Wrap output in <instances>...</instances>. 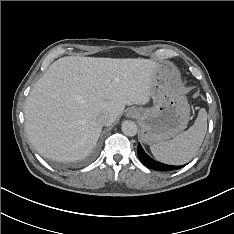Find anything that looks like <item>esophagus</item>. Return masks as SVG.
I'll return each instance as SVG.
<instances>
[{"label": "esophagus", "instance_id": "obj_1", "mask_svg": "<svg viewBox=\"0 0 234 234\" xmlns=\"http://www.w3.org/2000/svg\"><path fill=\"white\" fill-rule=\"evenodd\" d=\"M138 114L139 112L136 109H130L127 113V115L131 118H135Z\"/></svg>", "mask_w": 234, "mask_h": 234}]
</instances>
